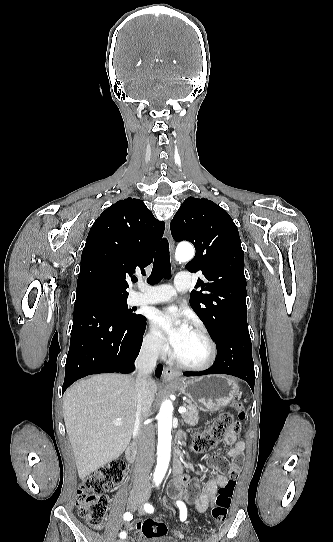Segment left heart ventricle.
<instances>
[{
    "label": "left heart ventricle",
    "instance_id": "1",
    "mask_svg": "<svg viewBox=\"0 0 333 542\" xmlns=\"http://www.w3.org/2000/svg\"><path fill=\"white\" fill-rule=\"evenodd\" d=\"M171 352L183 362L202 364L208 360L209 346L194 329H191L181 337L180 342L171 349Z\"/></svg>",
    "mask_w": 333,
    "mask_h": 542
}]
</instances>
